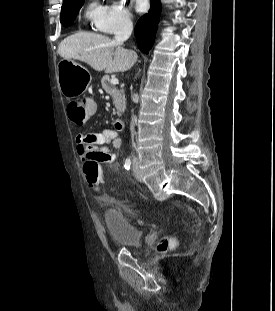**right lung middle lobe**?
<instances>
[{
	"label": "right lung middle lobe",
	"mask_w": 275,
	"mask_h": 311,
	"mask_svg": "<svg viewBox=\"0 0 275 311\" xmlns=\"http://www.w3.org/2000/svg\"><path fill=\"white\" fill-rule=\"evenodd\" d=\"M83 3H84V0H64L63 1V5L61 8V18H60V21L63 26L68 27L73 23Z\"/></svg>",
	"instance_id": "right-lung-middle-lobe-1"
}]
</instances>
